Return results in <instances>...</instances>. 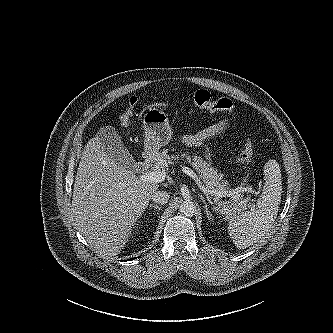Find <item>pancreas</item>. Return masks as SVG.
Wrapping results in <instances>:
<instances>
[{
	"label": "pancreas",
	"instance_id": "pancreas-1",
	"mask_svg": "<svg viewBox=\"0 0 333 333\" xmlns=\"http://www.w3.org/2000/svg\"><path fill=\"white\" fill-rule=\"evenodd\" d=\"M179 155H169L167 149H163L162 152H158L155 155L156 169L168 170L169 165L173 164L174 160H177ZM186 158L187 161L194 167L199 173L201 180L209 190L221 192L222 196H229L228 182L223 180V174L218 173V170L212 167L209 163L203 160L200 156H190L189 153H182L181 159ZM242 201L241 198L233 199L230 202H219L221 210L224 214L230 215L238 207V204Z\"/></svg>",
	"mask_w": 333,
	"mask_h": 333
}]
</instances>
